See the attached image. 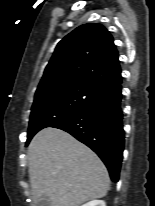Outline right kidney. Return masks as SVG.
Listing matches in <instances>:
<instances>
[{
  "label": "right kidney",
  "instance_id": "ca27d5eb",
  "mask_svg": "<svg viewBox=\"0 0 155 206\" xmlns=\"http://www.w3.org/2000/svg\"><path fill=\"white\" fill-rule=\"evenodd\" d=\"M81 206H106V203L103 200H93Z\"/></svg>",
  "mask_w": 155,
  "mask_h": 206
}]
</instances>
